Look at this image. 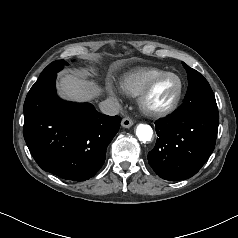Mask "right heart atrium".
<instances>
[{
	"label": "right heart atrium",
	"instance_id": "right-heart-atrium-1",
	"mask_svg": "<svg viewBox=\"0 0 238 238\" xmlns=\"http://www.w3.org/2000/svg\"><path fill=\"white\" fill-rule=\"evenodd\" d=\"M107 90H108L109 94H111V95H116L118 93V89L115 87H112V86H109L107 88Z\"/></svg>",
	"mask_w": 238,
	"mask_h": 238
}]
</instances>
